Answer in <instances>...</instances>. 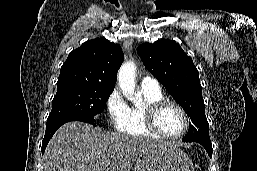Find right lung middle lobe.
Returning a JSON list of instances; mask_svg holds the SVG:
<instances>
[{
	"mask_svg": "<svg viewBox=\"0 0 257 171\" xmlns=\"http://www.w3.org/2000/svg\"><path fill=\"white\" fill-rule=\"evenodd\" d=\"M113 90V88L84 84L58 87L47 120L66 115L94 119L95 115L104 110L105 103Z\"/></svg>",
	"mask_w": 257,
	"mask_h": 171,
	"instance_id": "right-lung-middle-lobe-1",
	"label": "right lung middle lobe"
}]
</instances>
